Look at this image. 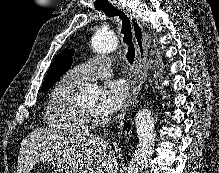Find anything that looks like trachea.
Returning <instances> with one entry per match:
<instances>
[{
	"mask_svg": "<svg viewBox=\"0 0 219 173\" xmlns=\"http://www.w3.org/2000/svg\"><path fill=\"white\" fill-rule=\"evenodd\" d=\"M99 11H103L108 17L118 16L122 21L121 33L123 34V41L128 46L127 48V60L130 64H133L135 58V47L132 40L131 23L127 15L114 7L113 5H108L104 7L97 8Z\"/></svg>",
	"mask_w": 219,
	"mask_h": 173,
	"instance_id": "3493384b",
	"label": "trachea"
}]
</instances>
